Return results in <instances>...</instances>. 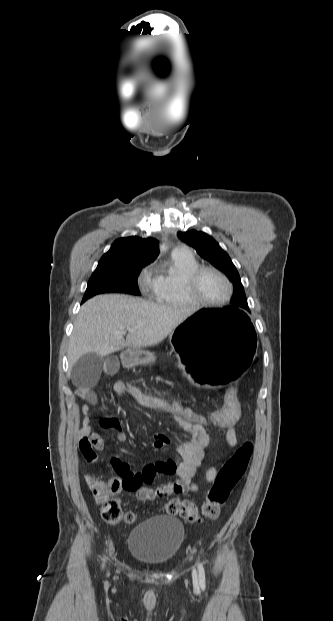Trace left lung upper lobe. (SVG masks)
I'll list each match as a JSON object with an SVG mask.
<instances>
[{
	"label": "left lung upper lobe",
	"instance_id": "5c2ea615",
	"mask_svg": "<svg viewBox=\"0 0 333 621\" xmlns=\"http://www.w3.org/2000/svg\"><path fill=\"white\" fill-rule=\"evenodd\" d=\"M178 238L196 249L198 254L224 272L233 282L234 295L231 298V307L238 310H247L249 307L240 276L228 254L208 234L190 230L178 232Z\"/></svg>",
	"mask_w": 333,
	"mask_h": 621
}]
</instances>
